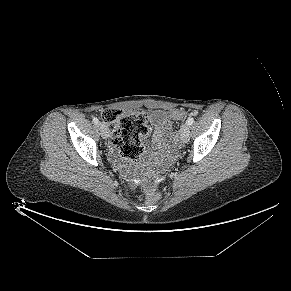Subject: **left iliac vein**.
<instances>
[{
	"instance_id": "4c4485c4",
	"label": "left iliac vein",
	"mask_w": 291,
	"mask_h": 291,
	"mask_svg": "<svg viewBox=\"0 0 291 291\" xmlns=\"http://www.w3.org/2000/svg\"><path fill=\"white\" fill-rule=\"evenodd\" d=\"M189 125L187 123L182 124L180 128V139L183 143H186L190 137Z\"/></svg>"
}]
</instances>
